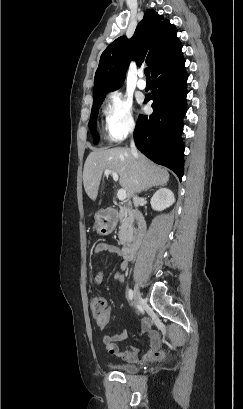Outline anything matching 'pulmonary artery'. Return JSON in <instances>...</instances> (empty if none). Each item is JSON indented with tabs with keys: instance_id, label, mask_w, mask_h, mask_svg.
<instances>
[{
	"instance_id": "e3ab8cb5",
	"label": "pulmonary artery",
	"mask_w": 243,
	"mask_h": 409,
	"mask_svg": "<svg viewBox=\"0 0 243 409\" xmlns=\"http://www.w3.org/2000/svg\"><path fill=\"white\" fill-rule=\"evenodd\" d=\"M143 72L139 73V80L137 82V87L141 90H144L147 87L146 81L143 79Z\"/></svg>"
}]
</instances>
